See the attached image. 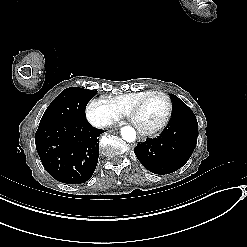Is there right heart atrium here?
I'll list each match as a JSON object with an SVG mask.
<instances>
[{
	"mask_svg": "<svg viewBox=\"0 0 247 247\" xmlns=\"http://www.w3.org/2000/svg\"><path fill=\"white\" fill-rule=\"evenodd\" d=\"M88 121L95 127H106L113 122L114 106L105 98H92L85 109Z\"/></svg>",
	"mask_w": 247,
	"mask_h": 247,
	"instance_id": "1",
	"label": "right heart atrium"
}]
</instances>
